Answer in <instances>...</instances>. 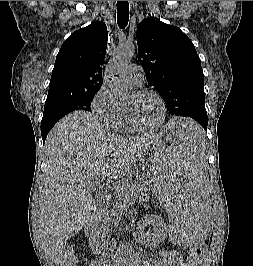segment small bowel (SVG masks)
Listing matches in <instances>:
<instances>
[{
  "instance_id": "c3829d8e",
  "label": "small bowel",
  "mask_w": 253,
  "mask_h": 266,
  "mask_svg": "<svg viewBox=\"0 0 253 266\" xmlns=\"http://www.w3.org/2000/svg\"><path fill=\"white\" fill-rule=\"evenodd\" d=\"M158 255L160 257V261L151 262L143 258L138 253H131L122 260L111 262L110 266H115V265L116 266L117 265H121V266H196L197 265L196 262L185 264L182 259V256L177 250L161 249L158 251ZM91 266H106V263L103 262L101 264L98 260H95L91 263Z\"/></svg>"
}]
</instances>
